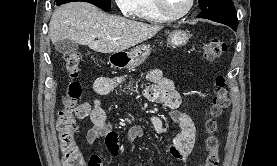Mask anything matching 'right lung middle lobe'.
Here are the masks:
<instances>
[{
    "label": "right lung middle lobe",
    "instance_id": "right-lung-middle-lobe-1",
    "mask_svg": "<svg viewBox=\"0 0 277 166\" xmlns=\"http://www.w3.org/2000/svg\"><path fill=\"white\" fill-rule=\"evenodd\" d=\"M74 1L88 2L101 8L102 10H110V7H111L110 0H57V5H61L68 2H74Z\"/></svg>",
    "mask_w": 277,
    "mask_h": 166
}]
</instances>
